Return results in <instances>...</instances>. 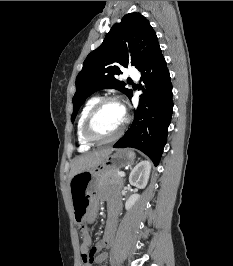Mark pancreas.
Instances as JSON below:
<instances>
[{"label":"pancreas","mask_w":233,"mask_h":266,"mask_svg":"<svg viewBox=\"0 0 233 266\" xmlns=\"http://www.w3.org/2000/svg\"><path fill=\"white\" fill-rule=\"evenodd\" d=\"M119 171H108L102 173L98 178V187H104V186H121L123 184V178L118 175Z\"/></svg>","instance_id":"pancreas-1"}]
</instances>
